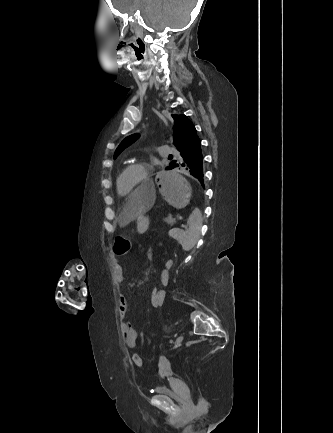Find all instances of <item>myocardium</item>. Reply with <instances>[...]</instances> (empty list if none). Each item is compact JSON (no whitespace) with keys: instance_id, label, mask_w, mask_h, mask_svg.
Here are the masks:
<instances>
[{"instance_id":"f54148a6","label":"myocardium","mask_w":333,"mask_h":433,"mask_svg":"<svg viewBox=\"0 0 333 433\" xmlns=\"http://www.w3.org/2000/svg\"><path fill=\"white\" fill-rule=\"evenodd\" d=\"M135 169L139 170L141 172V175H140V178L133 185V187L129 191H127L126 196L132 194L137 188L144 185L148 180L149 165L147 163H144V162L132 163V164L128 165L117 177V180H116L117 189L120 186V182H121V179L123 178V176L126 173H128L129 171L135 170Z\"/></svg>"}]
</instances>
